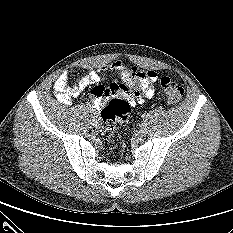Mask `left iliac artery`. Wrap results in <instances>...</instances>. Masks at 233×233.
Masks as SVG:
<instances>
[{
  "label": "left iliac artery",
  "instance_id": "left-iliac-artery-1",
  "mask_svg": "<svg viewBox=\"0 0 233 233\" xmlns=\"http://www.w3.org/2000/svg\"><path fill=\"white\" fill-rule=\"evenodd\" d=\"M142 119H143V120L147 119V115H146V114H143V115H142Z\"/></svg>",
  "mask_w": 233,
  "mask_h": 233
}]
</instances>
